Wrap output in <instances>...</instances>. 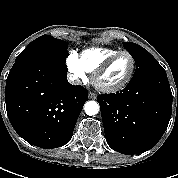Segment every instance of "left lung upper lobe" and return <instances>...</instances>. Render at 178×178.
<instances>
[{
  "label": "left lung upper lobe",
  "instance_id": "5c2ea615",
  "mask_svg": "<svg viewBox=\"0 0 178 178\" xmlns=\"http://www.w3.org/2000/svg\"><path fill=\"white\" fill-rule=\"evenodd\" d=\"M123 46L134 58L136 64L135 74L132 79H136L153 72L165 71L158 61L146 49L138 44L124 42Z\"/></svg>",
  "mask_w": 178,
  "mask_h": 178
}]
</instances>
